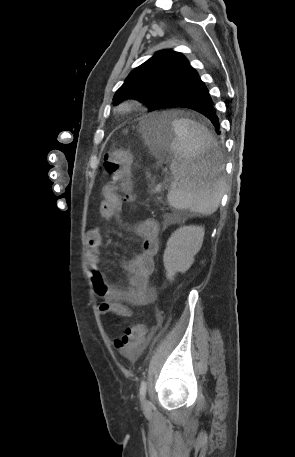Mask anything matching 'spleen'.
I'll return each mask as SVG.
<instances>
[{"mask_svg": "<svg viewBox=\"0 0 295 457\" xmlns=\"http://www.w3.org/2000/svg\"><path fill=\"white\" fill-rule=\"evenodd\" d=\"M173 126L177 140L171 144L174 182L168 202L175 209L211 215L225 189V180L219 176L222 154L218 143L206 127L190 119H174ZM207 150L215 151L213 163L203 158Z\"/></svg>", "mask_w": 295, "mask_h": 457, "instance_id": "1", "label": "spleen"}]
</instances>
